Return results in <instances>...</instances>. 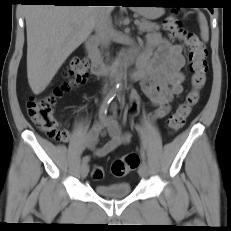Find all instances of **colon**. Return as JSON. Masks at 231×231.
<instances>
[{
  "label": "colon",
  "mask_w": 231,
  "mask_h": 231,
  "mask_svg": "<svg viewBox=\"0 0 231 231\" xmlns=\"http://www.w3.org/2000/svg\"><path fill=\"white\" fill-rule=\"evenodd\" d=\"M177 16L178 11L171 10L170 15L163 21V28L169 33L170 37L180 40L188 49L189 67L192 75L191 90L168 119V128L171 133L178 132L184 126L192 108L199 100L200 91L206 83L208 71L207 49L204 43L196 33L184 29ZM65 75L66 81L56 87L51 94L44 97H31L27 102V113L31 120L47 137L58 142L67 141L69 132L61 127L55 117L56 100L72 87L87 81L89 76L88 62L82 58H73L67 65ZM138 164V155L129 153L116 159L112 163L110 171L115 177H123L129 171L134 170ZM103 176L104 170L101 166H95L92 169V179L101 180Z\"/></svg>",
  "instance_id": "1"
}]
</instances>
